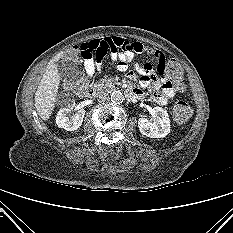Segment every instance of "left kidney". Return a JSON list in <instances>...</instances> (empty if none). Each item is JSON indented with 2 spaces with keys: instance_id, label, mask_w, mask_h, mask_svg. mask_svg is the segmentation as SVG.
<instances>
[{
  "instance_id": "1",
  "label": "left kidney",
  "mask_w": 233,
  "mask_h": 233,
  "mask_svg": "<svg viewBox=\"0 0 233 233\" xmlns=\"http://www.w3.org/2000/svg\"><path fill=\"white\" fill-rule=\"evenodd\" d=\"M154 122L147 118L138 119V127L142 135L150 138H163L170 132V120L168 113L162 107H154L151 110Z\"/></svg>"
}]
</instances>
